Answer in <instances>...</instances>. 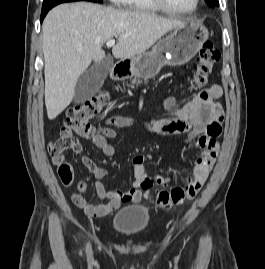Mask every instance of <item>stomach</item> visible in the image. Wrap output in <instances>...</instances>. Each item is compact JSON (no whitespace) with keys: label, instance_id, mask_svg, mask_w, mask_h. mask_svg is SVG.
Returning a JSON list of instances; mask_svg holds the SVG:
<instances>
[{"label":"stomach","instance_id":"1","mask_svg":"<svg viewBox=\"0 0 265 269\" xmlns=\"http://www.w3.org/2000/svg\"><path fill=\"white\" fill-rule=\"evenodd\" d=\"M208 29L193 20L184 21L161 39L150 52L125 59L122 65L127 75L149 79L165 66H180L189 62L208 39Z\"/></svg>","mask_w":265,"mask_h":269}]
</instances>
